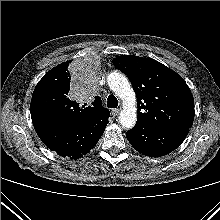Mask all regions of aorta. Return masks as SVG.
Listing matches in <instances>:
<instances>
[{
	"instance_id": "1",
	"label": "aorta",
	"mask_w": 220,
	"mask_h": 220,
	"mask_svg": "<svg viewBox=\"0 0 220 220\" xmlns=\"http://www.w3.org/2000/svg\"><path fill=\"white\" fill-rule=\"evenodd\" d=\"M110 89L123 101V109L118 120L125 129L134 127L137 121L136 94L127 77L119 72H112L107 76Z\"/></svg>"
}]
</instances>
